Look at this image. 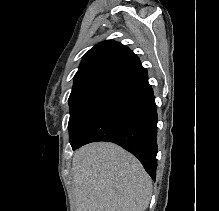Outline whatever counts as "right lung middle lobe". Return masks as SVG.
<instances>
[{"mask_svg": "<svg viewBox=\"0 0 219 211\" xmlns=\"http://www.w3.org/2000/svg\"><path fill=\"white\" fill-rule=\"evenodd\" d=\"M112 88L99 87L69 97V139L73 144L80 132Z\"/></svg>", "mask_w": 219, "mask_h": 211, "instance_id": "1", "label": "right lung middle lobe"}]
</instances>
